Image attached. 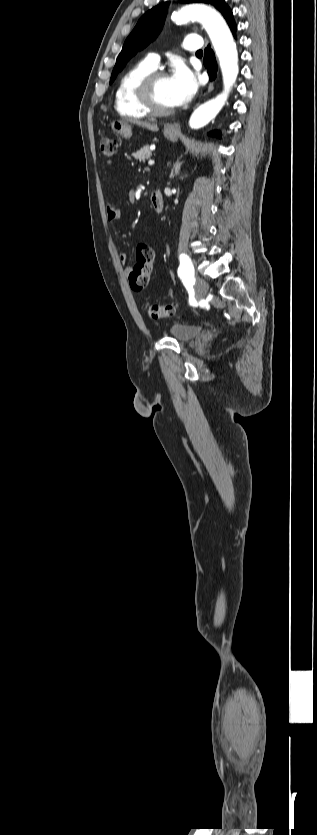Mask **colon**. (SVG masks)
<instances>
[{
  "label": "colon",
  "mask_w": 317,
  "mask_h": 835,
  "mask_svg": "<svg viewBox=\"0 0 317 835\" xmlns=\"http://www.w3.org/2000/svg\"><path fill=\"white\" fill-rule=\"evenodd\" d=\"M117 149L116 141L111 137H103L100 142V150L104 158L111 159ZM152 274V262L139 259L133 266L128 276V282L132 290H144L150 281ZM147 314L152 319L168 318L175 314L174 304H152L146 305Z\"/></svg>",
  "instance_id": "obj_1"
}]
</instances>
